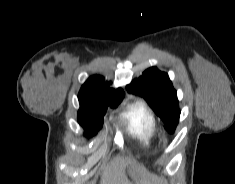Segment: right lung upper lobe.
Returning <instances> with one entry per match:
<instances>
[{
	"instance_id": "cb5924a9",
	"label": "right lung upper lobe",
	"mask_w": 235,
	"mask_h": 184,
	"mask_svg": "<svg viewBox=\"0 0 235 184\" xmlns=\"http://www.w3.org/2000/svg\"><path fill=\"white\" fill-rule=\"evenodd\" d=\"M125 93L121 88L113 89L105 85L102 76H91L81 87L78 99L85 106L100 107L119 104Z\"/></svg>"
}]
</instances>
